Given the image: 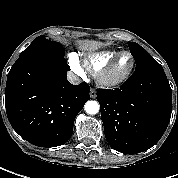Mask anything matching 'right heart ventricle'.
<instances>
[{"label":"right heart ventricle","instance_id":"obj_1","mask_svg":"<svg viewBox=\"0 0 178 178\" xmlns=\"http://www.w3.org/2000/svg\"><path fill=\"white\" fill-rule=\"evenodd\" d=\"M119 51L107 50L94 53L83 59L84 65L93 72L102 69L111 59H113Z\"/></svg>","mask_w":178,"mask_h":178}]
</instances>
